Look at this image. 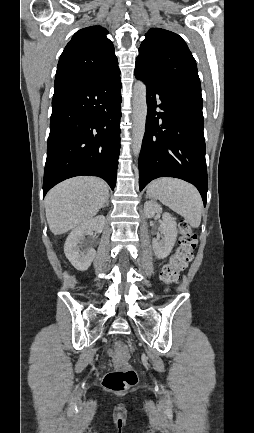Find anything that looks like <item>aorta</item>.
Masks as SVG:
<instances>
[{
	"mask_svg": "<svg viewBox=\"0 0 254 433\" xmlns=\"http://www.w3.org/2000/svg\"><path fill=\"white\" fill-rule=\"evenodd\" d=\"M147 101L146 86L142 81H136L133 86V130L132 151L138 156L146 128Z\"/></svg>",
	"mask_w": 254,
	"mask_h": 433,
	"instance_id": "aorta-1",
	"label": "aorta"
}]
</instances>
